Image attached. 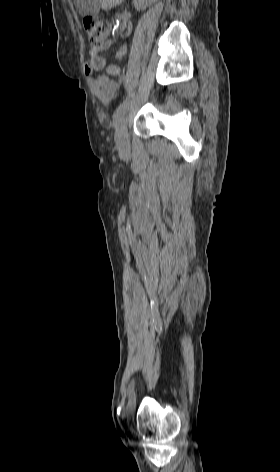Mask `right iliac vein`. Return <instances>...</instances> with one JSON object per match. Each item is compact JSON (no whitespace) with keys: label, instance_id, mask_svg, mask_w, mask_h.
I'll list each match as a JSON object with an SVG mask.
<instances>
[{"label":"right iliac vein","instance_id":"obj_1","mask_svg":"<svg viewBox=\"0 0 280 472\" xmlns=\"http://www.w3.org/2000/svg\"><path fill=\"white\" fill-rule=\"evenodd\" d=\"M116 145L119 153L126 157L130 154V144L127 131V116L123 115L121 118L115 133Z\"/></svg>","mask_w":280,"mask_h":472}]
</instances>
